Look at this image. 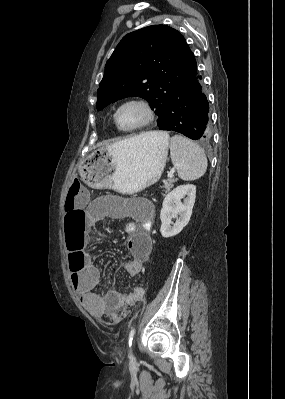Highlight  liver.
Instances as JSON below:
<instances>
[{
  "label": "liver",
  "mask_w": 285,
  "mask_h": 399,
  "mask_svg": "<svg viewBox=\"0 0 285 399\" xmlns=\"http://www.w3.org/2000/svg\"><path fill=\"white\" fill-rule=\"evenodd\" d=\"M157 135H158V132H157V131L146 132V133L140 134V136L146 137V138H150V139H155V138L157 137ZM117 143H118V142H117ZM114 144H116V143H114ZM114 144H111V145H114ZM111 145H107L105 148H110Z\"/></svg>",
  "instance_id": "obj_1"
}]
</instances>
